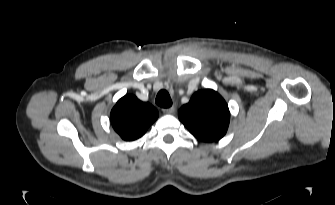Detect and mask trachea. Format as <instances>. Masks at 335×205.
<instances>
[{"label":"trachea","mask_w":335,"mask_h":205,"mask_svg":"<svg viewBox=\"0 0 335 205\" xmlns=\"http://www.w3.org/2000/svg\"><path fill=\"white\" fill-rule=\"evenodd\" d=\"M156 104L162 108H169L172 106V100L166 90H160L156 96Z\"/></svg>","instance_id":"1"}]
</instances>
